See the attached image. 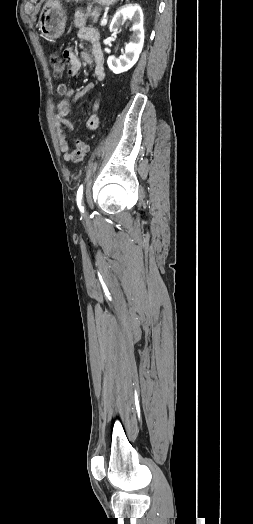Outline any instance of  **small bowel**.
<instances>
[{
    "label": "small bowel",
    "instance_id": "obj_1",
    "mask_svg": "<svg viewBox=\"0 0 253 524\" xmlns=\"http://www.w3.org/2000/svg\"><path fill=\"white\" fill-rule=\"evenodd\" d=\"M78 27V37L90 44L91 52L82 51L80 57L87 63L93 66L94 76L96 80L103 81L106 78V67L104 63L103 52L100 45V33L97 29L88 27L85 25L82 19H78L75 22ZM62 59L66 65L64 71L66 74L74 76L80 72L82 64L80 59L74 54L73 50L67 48L62 54ZM57 87L58 93L65 95L66 97H72L79 99L85 97L92 89V85L85 86L82 90L75 92L74 90L68 89L65 85L67 80L62 78ZM92 114L89 116L86 122V128L90 130H96L100 126V120L97 116V111L100 109L101 103L98 99L92 101ZM70 112V104L66 99H62L57 103V114L55 123L57 127V137L59 148L65 153L67 159V151L69 144L64 132V129H74V123L67 118Z\"/></svg>",
    "mask_w": 253,
    "mask_h": 524
}]
</instances>
